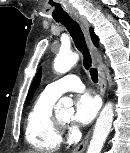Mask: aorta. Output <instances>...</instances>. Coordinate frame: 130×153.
<instances>
[{"label": "aorta", "mask_w": 130, "mask_h": 153, "mask_svg": "<svg viewBox=\"0 0 130 153\" xmlns=\"http://www.w3.org/2000/svg\"><path fill=\"white\" fill-rule=\"evenodd\" d=\"M77 53L60 52L54 60V70L57 73L68 72L78 61ZM57 110L73 111V100L70 97H62L56 105ZM113 103L108 102L96 121L93 136L87 149V153H100L105 140L111 130L113 121Z\"/></svg>", "instance_id": "762f6f07"}]
</instances>
